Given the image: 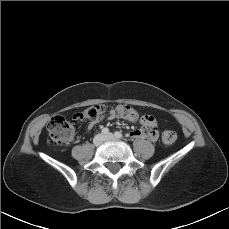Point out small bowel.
Listing matches in <instances>:
<instances>
[{"mask_svg":"<svg viewBox=\"0 0 229 229\" xmlns=\"http://www.w3.org/2000/svg\"><path fill=\"white\" fill-rule=\"evenodd\" d=\"M117 116L115 111H111L105 117L107 119H114ZM140 123L144 126L148 127V130L136 129L131 132V136L134 138H146L151 141H156L158 137V133L156 130V121L151 115H143L140 118ZM97 124V121H90L88 124V128L92 129Z\"/></svg>","mask_w":229,"mask_h":229,"instance_id":"small-bowel-1","label":"small bowel"}]
</instances>
